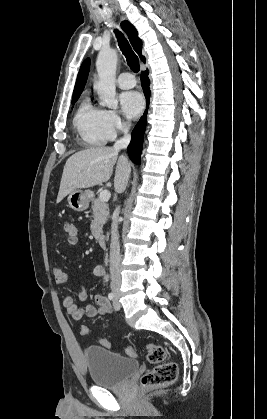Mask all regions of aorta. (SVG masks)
Here are the masks:
<instances>
[{"label": "aorta", "instance_id": "aorta-1", "mask_svg": "<svg viewBox=\"0 0 267 419\" xmlns=\"http://www.w3.org/2000/svg\"><path fill=\"white\" fill-rule=\"evenodd\" d=\"M116 66L117 52L114 49H103L99 52L96 61L98 81L95 88L100 98V104L112 109L118 107L115 86Z\"/></svg>", "mask_w": 267, "mask_h": 419}]
</instances>
